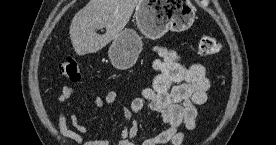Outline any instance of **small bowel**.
<instances>
[{
	"mask_svg": "<svg viewBox=\"0 0 276 145\" xmlns=\"http://www.w3.org/2000/svg\"><path fill=\"white\" fill-rule=\"evenodd\" d=\"M156 52L158 59L154 61L153 66L157 75L153 79L152 86L143 89L141 96L133 99L129 106L120 104L119 95L114 90L109 91L104 98L95 97L93 100V106L99 110L108 105L120 108L125 124L120 132L118 145H135L140 135V128L134 115L145 107L158 112L166 128L156 132L155 124L142 145H181L184 133L179 130L180 126L184 125L188 130H193L197 123L198 106L207 101L210 82L204 65L185 66L180 63L176 51L165 47H157ZM74 93L73 86L62 87L54 99L58 106L51 105L50 111L57 119L59 132L76 144H81L87 126L77 114L67 115L63 108ZM69 123L76 131L69 129ZM84 145H111V139L108 137L93 139Z\"/></svg>",
	"mask_w": 276,
	"mask_h": 145,
	"instance_id": "small-bowel-1",
	"label": "small bowel"
}]
</instances>
